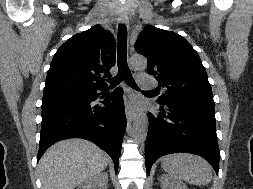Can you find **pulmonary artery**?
I'll return each mask as SVG.
<instances>
[{
	"label": "pulmonary artery",
	"instance_id": "1",
	"mask_svg": "<svg viewBox=\"0 0 253 189\" xmlns=\"http://www.w3.org/2000/svg\"><path fill=\"white\" fill-rule=\"evenodd\" d=\"M139 83L143 87H154L155 86V81L152 76L148 74H142L138 77Z\"/></svg>",
	"mask_w": 253,
	"mask_h": 189
}]
</instances>
